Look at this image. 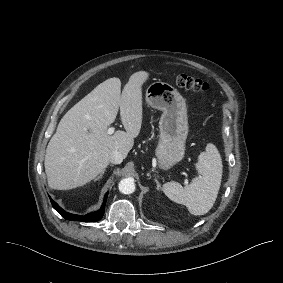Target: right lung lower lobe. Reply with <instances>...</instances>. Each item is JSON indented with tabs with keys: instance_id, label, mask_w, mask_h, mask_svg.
I'll list each match as a JSON object with an SVG mask.
<instances>
[{
	"instance_id": "98d812e1",
	"label": "right lung lower lobe",
	"mask_w": 283,
	"mask_h": 283,
	"mask_svg": "<svg viewBox=\"0 0 283 283\" xmlns=\"http://www.w3.org/2000/svg\"><path fill=\"white\" fill-rule=\"evenodd\" d=\"M107 196L108 195L106 194L104 197V202L98 211L89 213L85 216H79V215L67 213L62 208H60L59 205L55 201H53L52 199H50V201L54 209L58 211L61 214V216L67 220L83 221V222H93L94 221L95 222V221L100 220L104 215Z\"/></svg>"
}]
</instances>
